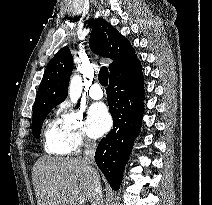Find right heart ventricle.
Segmentation results:
<instances>
[{"mask_svg": "<svg viewBox=\"0 0 212 205\" xmlns=\"http://www.w3.org/2000/svg\"><path fill=\"white\" fill-rule=\"evenodd\" d=\"M44 149L48 154L64 156L72 152L60 120H50L44 129Z\"/></svg>", "mask_w": 212, "mask_h": 205, "instance_id": "1", "label": "right heart ventricle"}]
</instances>
